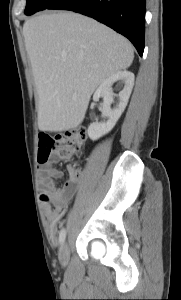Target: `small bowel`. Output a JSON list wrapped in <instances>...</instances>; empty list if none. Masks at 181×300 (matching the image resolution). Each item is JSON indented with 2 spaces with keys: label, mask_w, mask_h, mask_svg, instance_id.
Listing matches in <instances>:
<instances>
[{
  "label": "small bowel",
  "mask_w": 181,
  "mask_h": 300,
  "mask_svg": "<svg viewBox=\"0 0 181 300\" xmlns=\"http://www.w3.org/2000/svg\"><path fill=\"white\" fill-rule=\"evenodd\" d=\"M53 162L54 160H50L41 164L38 183L41 189L40 201L44 207V214L52 225H56L79 190L80 179L73 177L70 173L69 179L61 187H58L56 180L61 178L63 173L52 165Z\"/></svg>",
  "instance_id": "c3829d8e"
}]
</instances>
